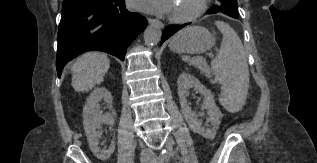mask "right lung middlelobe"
Listing matches in <instances>:
<instances>
[{"label":"right lung middle lobe","instance_id":"right-lung-middle-lobe-1","mask_svg":"<svg viewBox=\"0 0 317 163\" xmlns=\"http://www.w3.org/2000/svg\"><path fill=\"white\" fill-rule=\"evenodd\" d=\"M94 1H99V0H68V1H63L62 5V12L65 10H71V9H76L78 7L84 6L86 4H89Z\"/></svg>","mask_w":317,"mask_h":163}]
</instances>
